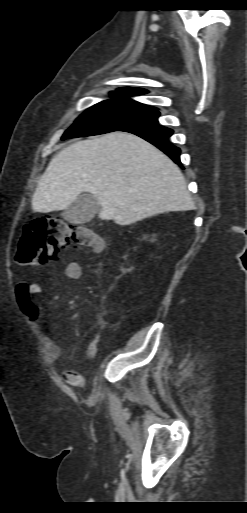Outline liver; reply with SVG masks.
Returning a JSON list of instances; mask_svg holds the SVG:
<instances>
[{"instance_id":"6515ba94","label":"liver","mask_w":247,"mask_h":513,"mask_svg":"<svg viewBox=\"0 0 247 513\" xmlns=\"http://www.w3.org/2000/svg\"><path fill=\"white\" fill-rule=\"evenodd\" d=\"M83 192L97 199L101 220L119 225L194 208L179 167L127 132L80 140L60 151L37 184L32 208L40 213L65 210Z\"/></svg>"}]
</instances>
